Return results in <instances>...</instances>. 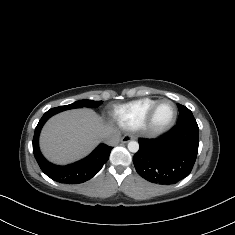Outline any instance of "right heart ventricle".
Returning a JSON list of instances; mask_svg holds the SVG:
<instances>
[{"instance_id": "obj_1", "label": "right heart ventricle", "mask_w": 235, "mask_h": 235, "mask_svg": "<svg viewBox=\"0 0 235 235\" xmlns=\"http://www.w3.org/2000/svg\"><path fill=\"white\" fill-rule=\"evenodd\" d=\"M156 101L154 98L147 97L117 105L108 111V116L113 122L125 129H136L144 123Z\"/></svg>"}]
</instances>
